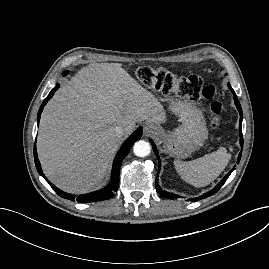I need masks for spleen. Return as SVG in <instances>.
<instances>
[{"instance_id": "3e777b00", "label": "spleen", "mask_w": 269, "mask_h": 269, "mask_svg": "<svg viewBox=\"0 0 269 269\" xmlns=\"http://www.w3.org/2000/svg\"><path fill=\"white\" fill-rule=\"evenodd\" d=\"M230 159L231 154L226 148L220 147L217 151L192 161L175 160L174 165L185 182L195 187H204L223 172Z\"/></svg>"}]
</instances>
